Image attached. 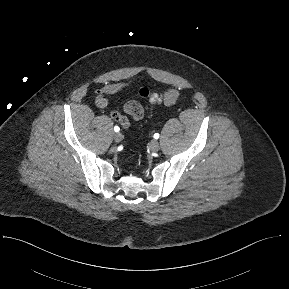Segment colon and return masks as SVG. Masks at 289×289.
I'll return each mask as SVG.
<instances>
[{
    "label": "colon",
    "instance_id": "obj_1",
    "mask_svg": "<svg viewBox=\"0 0 289 289\" xmlns=\"http://www.w3.org/2000/svg\"><path fill=\"white\" fill-rule=\"evenodd\" d=\"M139 95L142 98L148 99L151 103L156 105L171 106L179 98V92L176 89H170L164 94L151 93L148 89L142 88L139 90Z\"/></svg>",
    "mask_w": 289,
    "mask_h": 289
}]
</instances>
